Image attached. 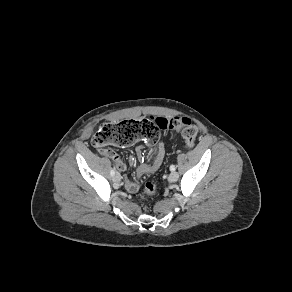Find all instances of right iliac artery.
<instances>
[{
    "label": "right iliac artery",
    "mask_w": 292,
    "mask_h": 292,
    "mask_svg": "<svg viewBox=\"0 0 292 292\" xmlns=\"http://www.w3.org/2000/svg\"><path fill=\"white\" fill-rule=\"evenodd\" d=\"M110 174H111V176L115 175V170L113 168L111 169Z\"/></svg>",
    "instance_id": "right-iliac-artery-1"
}]
</instances>
